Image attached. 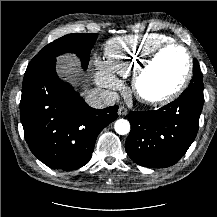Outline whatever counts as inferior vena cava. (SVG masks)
<instances>
[{
	"label": "inferior vena cava",
	"mask_w": 217,
	"mask_h": 217,
	"mask_svg": "<svg viewBox=\"0 0 217 217\" xmlns=\"http://www.w3.org/2000/svg\"><path fill=\"white\" fill-rule=\"evenodd\" d=\"M117 99V93L100 88L89 90L85 96L86 103L96 109L112 106L115 104Z\"/></svg>",
	"instance_id": "inferior-vena-cava-1"
}]
</instances>
